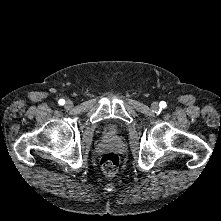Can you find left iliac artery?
Here are the masks:
<instances>
[{"instance_id": "44dca946", "label": "left iliac artery", "mask_w": 221, "mask_h": 221, "mask_svg": "<svg viewBox=\"0 0 221 221\" xmlns=\"http://www.w3.org/2000/svg\"><path fill=\"white\" fill-rule=\"evenodd\" d=\"M159 106H160L161 108H165L167 105H166V102L161 101L160 104H159Z\"/></svg>"}]
</instances>
